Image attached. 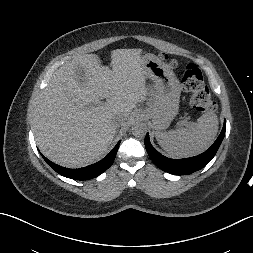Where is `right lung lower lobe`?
<instances>
[{
	"label": "right lung lower lobe",
	"mask_w": 253,
	"mask_h": 253,
	"mask_svg": "<svg viewBox=\"0 0 253 253\" xmlns=\"http://www.w3.org/2000/svg\"><path fill=\"white\" fill-rule=\"evenodd\" d=\"M119 144H120V141L112 149V151L101 161L95 164L89 165L87 167L79 168V169H69V168L61 167L51 162L50 160H48L42 154L41 155L44 158V160L48 163V165L52 167L60 175L65 176L67 178L75 179V180H87V179L97 177L98 175L102 174L111 166V164L113 163L115 159Z\"/></svg>",
	"instance_id": "1"
}]
</instances>
